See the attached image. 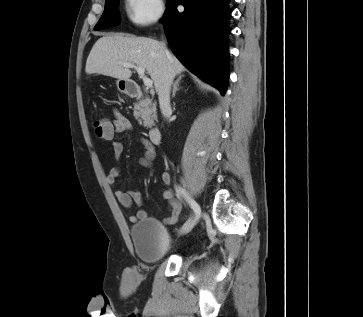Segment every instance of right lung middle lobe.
I'll return each mask as SVG.
<instances>
[{
    "mask_svg": "<svg viewBox=\"0 0 363 317\" xmlns=\"http://www.w3.org/2000/svg\"><path fill=\"white\" fill-rule=\"evenodd\" d=\"M118 0H106L104 12L95 26V30L114 27L119 23L117 11Z\"/></svg>",
    "mask_w": 363,
    "mask_h": 317,
    "instance_id": "right-lung-middle-lobe-1",
    "label": "right lung middle lobe"
}]
</instances>
